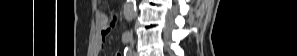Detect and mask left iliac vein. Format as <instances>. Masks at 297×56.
<instances>
[{"label":"left iliac vein","instance_id":"4c4485c4","mask_svg":"<svg viewBox=\"0 0 297 56\" xmlns=\"http://www.w3.org/2000/svg\"><path fill=\"white\" fill-rule=\"evenodd\" d=\"M134 56H137V54H136V53H134Z\"/></svg>","mask_w":297,"mask_h":56}]
</instances>
